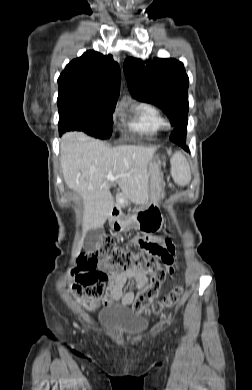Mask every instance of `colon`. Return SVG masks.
Masks as SVG:
<instances>
[{"mask_svg":"<svg viewBox=\"0 0 252 390\" xmlns=\"http://www.w3.org/2000/svg\"><path fill=\"white\" fill-rule=\"evenodd\" d=\"M140 223L144 235L141 236L138 250H131L113 237L104 235L99 239L94 251L79 262L74 271V289L86 309H93L94 301L101 297L103 282L108 277L106 272L96 271L98 262L115 272L141 271L150 276L149 283L135 295L133 310L137 314L151 304L163 282L174 273L173 261L169 256H164L162 261L166 268H163L157 260L158 256L150 252L154 245L148 237L156 231V227L145 221ZM181 294V287L173 288L162 300L153 304L152 310L160 313L174 306Z\"/></svg>","mask_w":252,"mask_h":390,"instance_id":"colon-1","label":"colon"}]
</instances>
